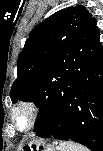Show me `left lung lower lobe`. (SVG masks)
<instances>
[{
  "instance_id": "0a47b994",
  "label": "left lung lower lobe",
  "mask_w": 103,
  "mask_h": 151,
  "mask_svg": "<svg viewBox=\"0 0 103 151\" xmlns=\"http://www.w3.org/2000/svg\"><path fill=\"white\" fill-rule=\"evenodd\" d=\"M54 77L37 83L31 101L39 106L37 135L71 139L103 150V47L92 26L56 62Z\"/></svg>"
}]
</instances>
